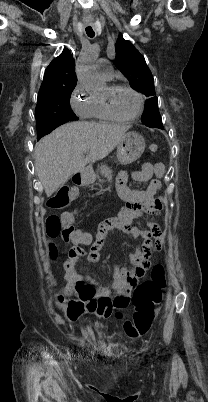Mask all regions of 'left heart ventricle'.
<instances>
[{
  "mask_svg": "<svg viewBox=\"0 0 208 402\" xmlns=\"http://www.w3.org/2000/svg\"><path fill=\"white\" fill-rule=\"evenodd\" d=\"M113 106L120 115L130 117L138 111L139 100L137 96L129 90L119 89L113 96Z\"/></svg>",
  "mask_w": 208,
  "mask_h": 402,
  "instance_id": "1",
  "label": "left heart ventricle"
}]
</instances>
